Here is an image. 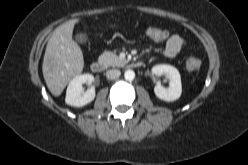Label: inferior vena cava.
Here are the masks:
<instances>
[{
  "mask_svg": "<svg viewBox=\"0 0 248 165\" xmlns=\"http://www.w3.org/2000/svg\"><path fill=\"white\" fill-rule=\"evenodd\" d=\"M121 75L120 70L118 69H111L106 72L107 79H116Z\"/></svg>",
  "mask_w": 248,
  "mask_h": 165,
  "instance_id": "inferior-vena-cava-1",
  "label": "inferior vena cava"
}]
</instances>
